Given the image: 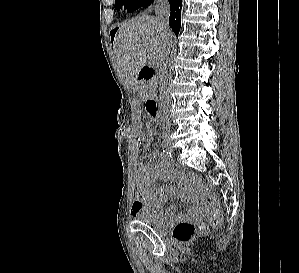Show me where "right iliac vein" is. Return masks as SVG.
<instances>
[{
	"label": "right iliac vein",
	"mask_w": 299,
	"mask_h": 273,
	"mask_svg": "<svg viewBox=\"0 0 299 273\" xmlns=\"http://www.w3.org/2000/svg\"><path fill=\"white\" fill-rule=\"evenodd\" d=\"M164 147L166 148V149H168V150H172V144H171V142H169V141H166L165 143H164Z\"/></svg>",
	"instance_id": "63e3f726"
}]
</instances>
